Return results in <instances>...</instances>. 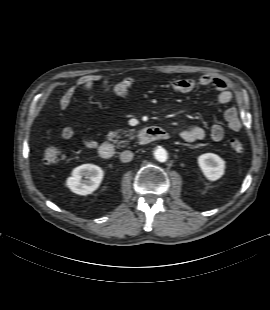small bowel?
Masks as SVG:
<instances>
[{
  "label": "small bowel",
  "instance_id": "obj_1",
  "mask_svg": "<svg viewBox=\"0 0 270 310\" xmlns=\"http://www.w3.org/2000/svg\"><path fill=\"white\" fill-rule=\"evenodd\" d=\"M104 80L105 77L98 74H89L78 78L73 85L64 91L59 99L60 109L64 110L70 105L75 93L79 89L94 86ZM132 84V78H125L112 87V93L116 98L123 99L127 96ZM197 84L201 86H212L217 90V102L221 105L227 104L233 99V93L229 89L226 81L211 74L202 75L197 82L189 78L176 79L172 82V88L178 93H190L196 88ZM224 115L227 126L231 131L237 132L242 128L241 119L235 107L226 109ZM209 134L214 141H221L224 138L225 129L220 124H213L209 130ZM61 135L66 140L73 139L77 136L75 129L71 126L64 127ZM180 136L186 142H195L204 139L206 137V131L198 125L191 124L180 133ZM80 142L84 147L89 149H94L97 146V142L89 138H80Z\"/></svg>",
  "mask_w": 270,
  "mask_h": 310
}]
</instances>
